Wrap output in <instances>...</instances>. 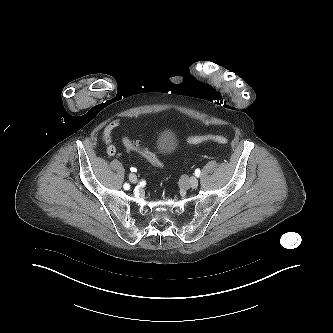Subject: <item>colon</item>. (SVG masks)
I'll list each match as a JSON object with an SVG mask.
<instances>
[{"label": "colon", "mask_w": 333, "mask_h": 333, "mask_svg": "<svg viewBox=\"0 0 333 333\" xmlns=\"http://www.w3.org/2000/svg\"><path fill=\"white\" fill-rule=\"evenodd\" d=\"M187 142L190 144H200L203 142H216L219 144H227L228 140L226 137L221 135H197V136H188L186 138ZM123 146L128 150L135 153H138L144 159L149 161L154 167L159 168L161 166L159 160L152 153L148 152L146 149L142 148L140 144L134 140H131L129 137L125 136L122 139Z\"/></svg>", "instance_id": "colon-1"}]
</instances>
